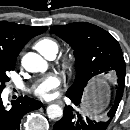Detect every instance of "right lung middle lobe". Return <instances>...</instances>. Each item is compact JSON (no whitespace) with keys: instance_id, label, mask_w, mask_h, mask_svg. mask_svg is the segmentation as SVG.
Wrapping results in <instances>:
<instances>
[{"instance_id":"dd1d6c3e","label":"right lung middle lobe","mask_w":130,"mask_h":130,"mask_svg":"<svg viewBox=\"0 0 130 130\" xmlns=\"http://www.w3.org/2000/svg\"><path fill=\"white\" fill-rule=\"evenodd\" d=\"M16 60L10 59L0 54V91L5 88V83L9 81L8 72L14 70Z\"/></svg>"}]
</instances>
